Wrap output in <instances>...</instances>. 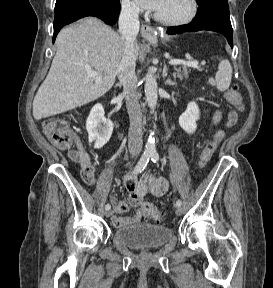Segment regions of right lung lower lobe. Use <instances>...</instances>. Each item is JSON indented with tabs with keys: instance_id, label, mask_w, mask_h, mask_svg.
Wrapping results in <instances>:
<instances>
[{
	"instance_id": "1",
	"label": "right lung lower lobe",
	"mask_w": 273,
	"mask_h": 288,
	"mask_svg": "<svg viewBox=\"0 0 273 288\" xmlns=\"http://www.w3.org/2000/svg\"><path fill=\"white\" fill-rule=\"evenodd\" d=\"M119 12L120 3L114 7H105L95 3L59 7L58 9H55L53 42L61 28L69 23L86 16H94L100 18L105 23L112 25L116 23Z\"/></svg>"
}]
</instances>
